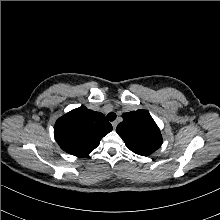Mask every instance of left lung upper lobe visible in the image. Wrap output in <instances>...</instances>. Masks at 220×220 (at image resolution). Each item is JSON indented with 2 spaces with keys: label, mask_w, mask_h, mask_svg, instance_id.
I'll use <instances>...</instances> for the list:
<instances>
[{
  "label": "left lung upper lobe",
  "mask_w": 220,
  "mask_h": 220,
  "mask_svg": "<svg viewBox=\"0 0 220 220\" xmlns=\"http://www.w3.org/2000/svg\"><path fill=\"white\" fill-rule=\"evenodd\" d=\"M122 118L123 121L117 126L116 132L132 152L148 156L161 146L160 130L146 110L127 112Z\"/></svg>",
  "instance_id": "left-lung-upper-lobe-1"
}]
</instances>
